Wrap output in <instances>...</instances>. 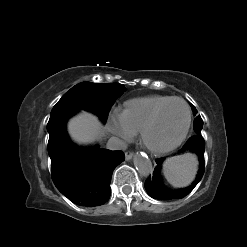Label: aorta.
<instances>
[{
  "label": "aorta",
  "mask_w": 247,
  "mask_h": 247,
  "mask_svg": "<svg viewBox=\"0 0 247 247\" xmlns=\"http://www.w3.org/2000/svg\"><path fill=\"white\" fill-rule=\"evenodd\" d=\"M134 165L141 176H148L153 172L152 162L146 155H135Z\"/></svg>",
  "instance_id": "obj_1"
}]
</instances>
